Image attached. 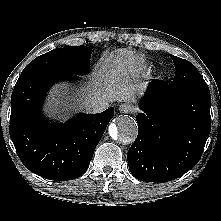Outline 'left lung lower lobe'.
I'll return each mask as SVG.
<instances>
[{"label":"left lung lower lobe","instance_id":"1","mask_svg":"<svg viewBox=\"0 0 221 221\" xmlns=\"http://www.w3.org/2000/svg\"><path fill=\"white\" fill-rule=\"evenodd\" d=\"M208 85L171 87L152 80L136 116L138 136L127 153L132 175L167 182L189 171L201 158L210 133Z\"/></svg>","mask_w":221,"mask_h":221}]
</instances>
